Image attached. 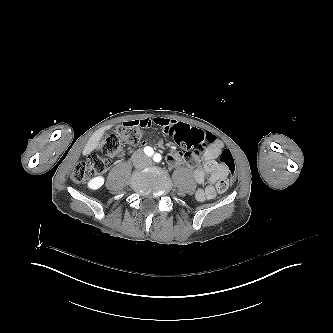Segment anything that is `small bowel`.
I'll list each match as a JSON object with an SVG mask.
<instances>
[{
    "mask_svg": "<svg viewBox=\"0 0 333 333\" xmlns=\"http://www.w3.org/2000/svg\"><path fill=\"white\" fill-rule=\"evenodd\" d=\"M131 123L143 128L157 126L169 132L174 131L178 127L184 126L177 121L165 117L141 118ZM155 142L158 144L160 141L157 139ZM140 145L142 147H147L149 145V142L147 140H142L140 142ZM159 146L164 147L162 143H160ZM223 146V143L220 140L216 139L215 142L212 143L205 151L203 155L202 166L198 167L194 171L193 178L197 184H203L208 177V184L204 187L199 188L195 193V198L199 202L213 200L216 198L218 193L221 192L219 186L223 181L226 180L229 172L228 168L225 165L217 161V158L219 157ZM130 151L131 150H129V152ZM186 160V155L180 151H170L165 156L166 163L171 166H181L185 164Z\"/></svg>",
    "mask_w": 333,
    "mask_h": 333,
    "instance_id": "obj_1",
    "label": "small bowel"
}]
</instances>
